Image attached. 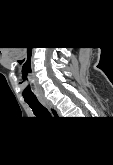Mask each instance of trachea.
<instances>
[{
	"label": "trachea",
	"mask_w": 113,
	"mask_h": 165,
	"mask_svg": "<svg viewBox=\"0 0 113 165\" xmlns=\"http://www.w3.org/2000/svg\"><path fill=\"white\" fill-rule=\"evenodd\" d=\"M38 117H51L49 111L38 100H25Z\"/></svg>",
	"instance_id": "obj_1"
}]
</instances>
